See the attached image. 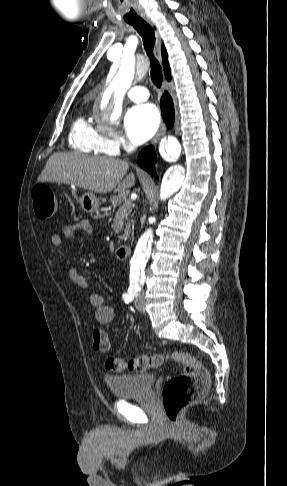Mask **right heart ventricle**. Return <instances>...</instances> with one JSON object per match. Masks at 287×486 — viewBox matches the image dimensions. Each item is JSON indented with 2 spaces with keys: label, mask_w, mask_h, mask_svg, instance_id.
<instances>
[{
  "label": "right heart ventricle",
  "mask_w": 287,
  "mask_h": 486,
  "mask_svg": "<svg viewBox=\"0 0 287 486\" xmlns=\"http://www.w3.org/2000/svg\"><path fill=\"white\" fill-rule=\"evenodd\" d=\"M103 136L84 117L76 118L69 133L72 149L87 154H108L102 148Z\"/></svg>",
  "instance_id": "e07e8e85"
}]
</instances>
